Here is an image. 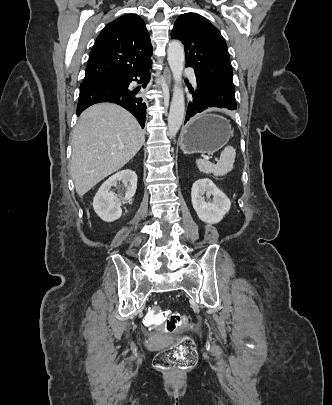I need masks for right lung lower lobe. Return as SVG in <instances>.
Returning <instances> with one entry per match:
<instances>
[{
	"label": "right lung lower lobe",
	"instance_id": "obj_1",
	"mask_svg": "<svg viewBox=\"0 0 332 405\" xmlns=\"http://www.w3.org/2000/svg\"><path fill=\"white\" fill-rule=\"evenodd\" d=\"M148 63L143 67L116 76L96 77L83 80L77 105V116L87 107L100 102H112L121 105L131 112L144 127L146 120V104L138 97L140 88H131L130 83L137 77L144 80L143 87L150 79Z\"/></svg>",
	"mask_w": 332,
	"mask_h": 405
}]
</instances>
